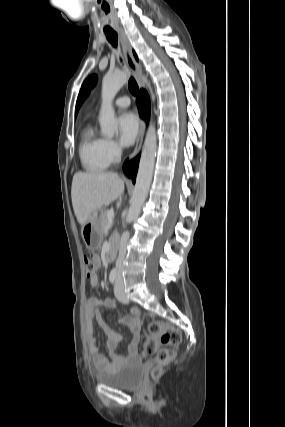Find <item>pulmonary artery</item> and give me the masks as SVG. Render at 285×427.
Listing matches in <instances>:
<instances>
[{"label": "pulmonary artery", "instance_id": "obj_1", "mask_svg": "<svg viewBox=\"0 0 285 427\" xmlns=\"http://www.w3.org/2000/svg\"><path fill=\"white\" fill-rule=\"evenodd\" d=\"M114 104L120 108H126L130 105V99L127 96L119 97L115 100Z\"/></svg>", "mask_w": 285, "mask_h": 427}]
</instances>
